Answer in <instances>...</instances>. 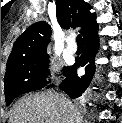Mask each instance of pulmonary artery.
Masks as SVG:
<instances>
[{
	"instance_id": "e3ab8cb5",
	"label": "pulmonary artery",
	"mask_w": 122,
	"mask_h": 123,
	"mask_svg": "<svg viewBox=\"0 0 122 123\" xmlns=\"http://www.w3.org/2000/svg\"><path fill=\"white\" fill-rule=\"evenodd\" d=\"M67 51L70 53V54H75L77 52V45L74 41V38H70L69 41H68V44H67Z\"/></svg>"
}]
</instances>
